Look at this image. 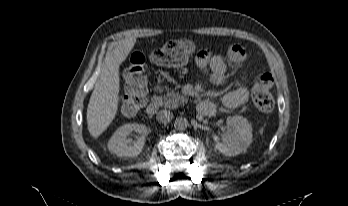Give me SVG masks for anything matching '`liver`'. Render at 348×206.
<instances>
[{
    "label": "liver",
    "instance_id": "liver-1",
    "mask_svg": "<svg viewBox=\"0 0 348 206\" xmlns=\"http://www.w3.org/2000/svg\"><path fill=\"white\" fill-rule=\"evenodd\" d=\"M136 43L135 38L119 42L107 54L100 78L95 84L87 107V125L90 135L99 137L115 118L119 103V67L126 60Z\"/></svg>",
    "mask_w": 348,
    "mask_h": 206
}]
</instances>
